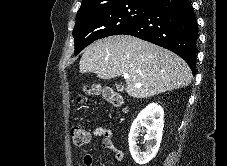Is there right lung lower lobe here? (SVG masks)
Masks as SVG:
<instances>
[{
  "label": "right lung lower lobe",
  "mask_w": 227,
  "mask_h": 166,
  "mask_svg": "<svg viewBox=\"0 0 227 166\" xmlns=\"http://www.w3.org/2000/svg\"><path fill=\"white\" fill-rule=\"evenodd\" d=\"M118 34L132 35L176 53L195 73L198 27L189 0H157L141 19Z\"/></svg>",
  "instance_id": "1"
}]
</instances>
